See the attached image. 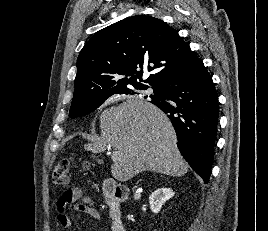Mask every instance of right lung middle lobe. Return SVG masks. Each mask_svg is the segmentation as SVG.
Masks as SVG:
<instances>
[{
  "label": "right lung middle lobe",
  "mask_w": 268,
  "mask_h": 231,
  "mask_svg": "<svg viewBox=\"0 0 268 231\" xmlns=\"http://www.w3.org/2000/svg\"><path fill=\"white\" fill-rule=\"evenodd\" d=\"M150 86L154 90V95H150V97H152L153 99L159 97L161 95V88L159 86H153V85H150ZM148 87L149 86H147V85H139V86H135V87L120 89L113 94H126V95L131 94V95H133V94H138L137 92L134 91L135 89L146 90ZM113 94H111V95H113ZM111 95L106 96L100 100H97L91 104H80V103L72 102L69 117L74 119L76 117L86 115V114L96 110Z\"/></svg>",
  "instance_id": "1"
}]
</instances>
